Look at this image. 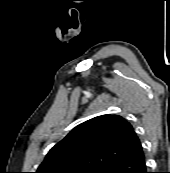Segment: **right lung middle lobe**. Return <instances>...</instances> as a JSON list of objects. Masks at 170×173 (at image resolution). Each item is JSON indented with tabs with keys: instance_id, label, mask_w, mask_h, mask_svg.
Returning <instances> with one entry per match:
<instances>
[{
	"instance_id": "1",
	"label": "right lung middle lobe",
	"mask_w": 170,
	"mask_h": 173,
	"mask_svg": "<svg viewBox=\"0 0 170 173\" xmlns=\"http://www.w3.org/2000/svg\"><path fill=\"white\" fill-rule=\"evenodd\" d=\"M70 173H102V171H71Z\"/></svg>"
}]
</instances>
